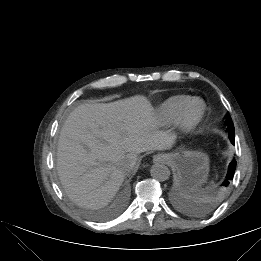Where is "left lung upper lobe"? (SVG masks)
I'll use <instances>...</instances> for the list:
<instances>
[{"label": "left lung upper lobe", "instance_id": "obj_1", "mask_svg": "<svg viewBox=\"0 0 261 261\" xmlns=\"http://www.w3.org/2000/svg\"><path fill=\"white\" fill-rule=\"evenodd\" d=\"M227 131L229 133V137L233 136L234 137V125L232 122V119L229 115H227ZM229 186V183L225 179L223 183L221 184V191H224L227 187Z\"/></svg>", "mask_w": 261, "mask_h": 261}]
</instances>
